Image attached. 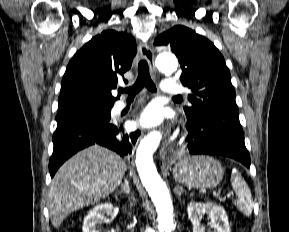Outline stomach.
Instances as JSON below:
<instances>
[{
  "instance_id": "0dacf381",
  "label": "stomach",
  "mask_w": 289,
  "mask_h": 232,
  "mask_svg": "<svg viewBox=\"0 0 289 232\" xmlns=\"http://www.w3.org/2000/svg\"><path fill=\"white\" fill-rule=\"evenodd\" d=\"M224 168L210 157L198 156L177 163L173 169L176 181L192 188H213L223 178Z\"/></svg>"
}]
</instances>
